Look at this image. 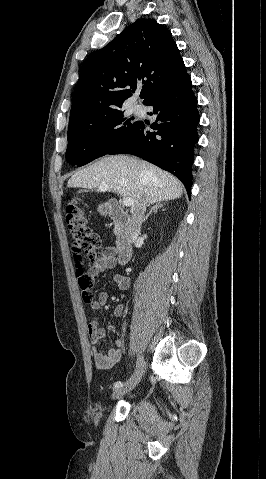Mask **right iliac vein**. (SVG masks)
<instances>
[{"label": "right iliac vein", "instance_id": "obj_1", "mask_svg": "<svg viewBox=\"0 0 266 479\" xmlns=\"http://www.w3.org/2000/svg\"><path fill=\"white\" fill-rule=\"evenodd\" d=\"M144 369H145V361L143 357H140L139 364L133 376L123 386L114 389L112 393V398L113 399L119 398L125 395L126 393L132 391L136 387V385L139 383L140 378L144 373Z\"/></svg>", "mask_w": 266, "mask_h": 479}]
</instances>
